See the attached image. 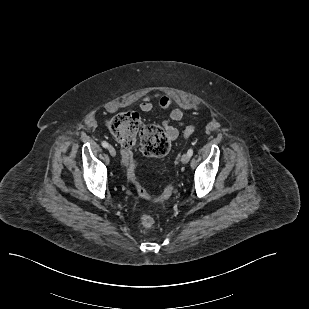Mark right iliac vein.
Instances as JSON below:
<instances>
[{"label":"right iliac vein","instance_id":"1","mask_svg":"<svg viewBox=\"0 0 309 309\" xmlns=\"http://www.w3.org/2000/svg\"><path fill=\"white\" fill-rule=\"evenodd\" d=\"M108 151H109L111 156H113V157L116 156V150L113 146H109Z\"/></svg>","mask_w":309,"mask_h":309}]
</instances>
